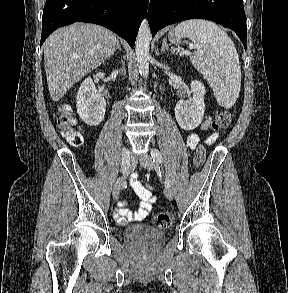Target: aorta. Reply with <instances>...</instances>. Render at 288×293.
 <instances>
[{
    "instance_id": "aorta-1",
    "label": "aorta",
    "mask_w": 288,
    "mask_h": 293,
    "mask_svg": "<svg viewBox=\"0 0 288 293\" xmlns=\"http://www.w3.org/2000/svg\"><path fill=\"white\" fill-rule=\"evenodd\" d=\"M150 41H151V31L147 19H144L140 25L136 44V60L139 73L147 78L149 74V60H150Z\"/></svg>"
}]
</instances>
